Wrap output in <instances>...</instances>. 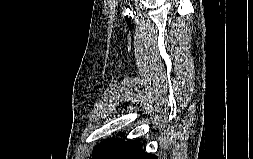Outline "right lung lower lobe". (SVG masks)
Here are the masks:
<instances>
[{
	"label": "right lung lower lobe",
	"instance_id": "98d812e1",
	"mask_svg": "<svg viewBox=\"0 0 253 159\" xmlns=\"http://www.w3.org/2000/svg\"><path fill=\"white\" fill-rule=\"evenodd\" d=\"M98 159H157V157L144 152L139 141L121 140Z\"/></svg>",
	"mask_w": 253,
	"mask_h": 159
}]
</instances>
